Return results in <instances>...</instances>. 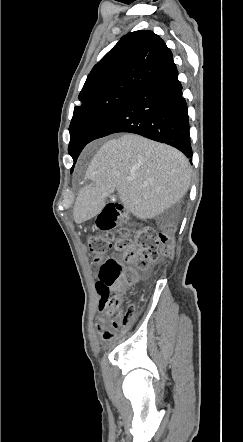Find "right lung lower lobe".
Wrapping results in <instances>:
<instances>
[{
    "mask_svg": "<svg viewBox=\"0 0 243 442\" xmlns=\"http://www.w3.org/2000/svg\"><path fill=\"white\" fill-rule=\"evenodd\" d=\"M189 128L187 104L173 63L135 88L105 119L92 140L118 132L136 133L171 145L191 159Z\"/></svg>",
    "mask_w": 243,
    "mask_h": 442,
    "instance_id": "98d812e1",
    "label": "right lung lower lobe"
}]
</instances>
